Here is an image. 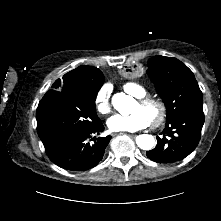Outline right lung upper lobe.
<instances>
[{
	"instance_id": "1",
	"label": "right lung upper lobe",
	"mask_w": 221,
	"mask_h": 221,
	"mask_svg": "<svg viewBox=\"0 0 221 221\" xmlns=\"http://www.w3.org/2000/svg\"><path fill=\"white\" fill-rule=\"evenodd\" d=\"M97 81L103 84L104 76L102 72L92 66H80L63 76V80H56L53 87L58 89V93H67L77 89H84L92 82Z\"/></svg>"
}]
</instances>
